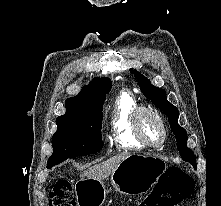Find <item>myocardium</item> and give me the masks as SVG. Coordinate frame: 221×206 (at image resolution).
Listing matches in <instances>:
<instances>
[{
  "instance_id": "1",
  "label": "myocardium",
  "mask_w": 221,
  "mask_h": 206,
  "mask_svg": "<svg viewBox=\"0 0 221 206\" xmlns=\"http://www.w3.org/2000/svg\"><path fill=\"white\" fill-rule=\"evenodd\" d=\"M144 115H151L160 124L161 129H162V139H161L160 143H158V144L150 143L147 140V138L145 137V135L143 133V129H142V117ZM133 129H134V133H135V136L137 137V139L145 147H148V148H153V149L161 148L166 143V140L168 137V129H167L164 118L162 117V115L159 112H157L156 110H154L153 108H150V107L139 106L135 109L134 114H133Z\"/></svg>"
}]
</instances>
